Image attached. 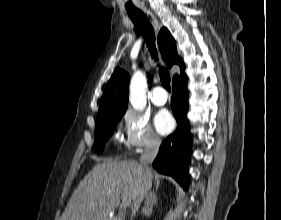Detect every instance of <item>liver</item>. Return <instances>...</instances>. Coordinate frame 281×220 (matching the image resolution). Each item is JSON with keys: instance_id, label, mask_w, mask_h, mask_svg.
<instances>
[{"instance_id": "liver-1", "label": "liver", "mask_w": 281, "mask_h": 220, "mask_svg": "<svg viewBox=\"0 0 281 220\" xmlns=\"http://www.w3.org/2000/svg\"><path fill=\"white\" fill-rule=\"evenodd\" d=\"M145 177L144 168L135 161L99 163L74 190L60 220H110L109 214L120 200H134ZM155 178L156 190L159 177Z\"/></svg>"}]
</instances>
